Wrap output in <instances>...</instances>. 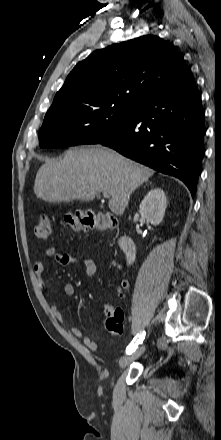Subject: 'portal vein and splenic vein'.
Here are the masks:
<instances>
[{
	"mask_svg": "<svg viewBox=\"0 0 221 440\" xmlns=\"http://www.w3.org/2000/svg\"><path fill=\"white\" fill-rule=\"evenodd\" d=\"M103 196H104L105 198H109V194H108L107 192H103Z\"/></svg>",
	"mask_w": 221,
	"mask_h": 440,
	"instance_id": "1",
	"label": "portal vein and splenic vein"
}]
</instances>
